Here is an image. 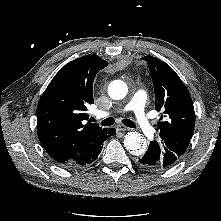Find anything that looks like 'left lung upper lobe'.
I'll use <instances>...</instances> for the list:
<instances>
[{"instance_id":"obj_1","label":"left lung upper lobe","mask_w":221,"mask_h":221,"mask_svg":"<svg viewBox=\"0 0 221 221\" xmlns=\"http://www.w3.org/2000/svg\"><path fill=\"white\" fill-rule=\"evenodd\" d=\"M156 96L155 108L161 111L157 142L174 165L186 151L195 125L193 102L175 71L156 57L145 56Z\"/></svg>"}]
</instances>
